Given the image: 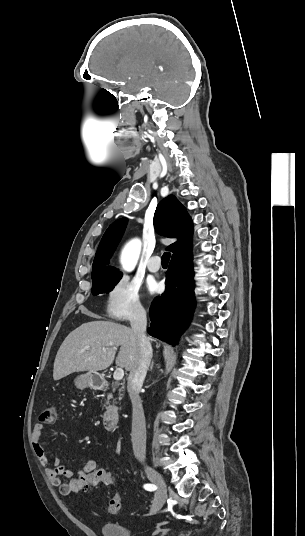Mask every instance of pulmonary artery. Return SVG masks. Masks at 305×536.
Returning <instances> with one entry per match:
<instances>
[{
    "label": "pulmonary artery",
    "mask_w": 305,
    "mask_h": 536,
    "mask_svg": "<svg viewBox=\"0 0 305 536\" xmlns=\"http://www.w3.org/2000/svg\"><path fill=\"white\" fill-rule=\"evenodd\" d=\"M159 261H160V256L158 254H152L150 256V261L147 264L149 271L151 272L159 271L161 268V265L158 263Z\"/></svg>",
    "instance_id": "obj_1"
}]
</instances>
